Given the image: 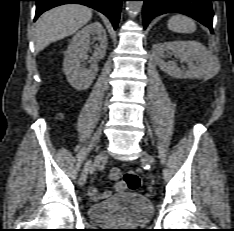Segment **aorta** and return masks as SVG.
Instances as JSON below:
<instances>
[{
	"mask_svg": "<svg viewBox=\"0 0 234 231\" xmlns=\"http://www.w3.org/2000/svg\"><path fill=\"white\" fill-rule=\"evenodd\" d=\"M143 2L142 1H127V11L131 17H135L142 8Z\"/></svg>",
	"mask_w": 234,
	"mask_h": 231,
	"instance_id": "762f6f07",
	"label": "aorta"
}]
</instances>
